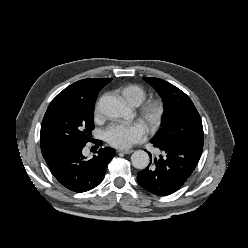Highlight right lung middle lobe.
I'll list each match as a JSON object with an SVG mask.
<instances>
[{
  "mask_svg": "<svg viewBox=\"0 0 248 248\" xmlns=\"http://www.w3.org/2000/svg\"><path fill=\"white\" fill-rule=\"evenodd\" d=\"M94 101L59 100L50 105L44 115L40 141L48 149L73 143H87L94 129Z\"/></svg>",
  "mask_w": 248,
  "mask_h": 248,
  "instance_id": "dd1d6c3e",
  "label": "right lung middle lobe"
}]
</instances>
